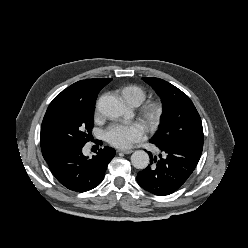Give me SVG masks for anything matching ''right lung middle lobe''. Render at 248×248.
Wrapping results in <instances>:
<instances>
[{
    "mask_svg": "<svg viewBox=\"0 0 248 248\" xmlns=\"http://www.w3.org/2000/svg\"><path fill=\"white\" fill-rule=\"evenodd\" d=\"M94 108L95 104L64 102L46 112L41 126L46 143L61 149L88 142L94 126Z\"/></svg>",
    "mask_w": 248,
    "mask_h": 248,
    "instance_id": "right-lung-middle-lobe-1",
    "label": "right lung middle lobe"
}]
</instances>
